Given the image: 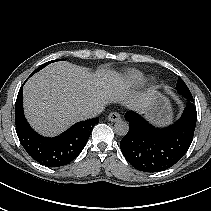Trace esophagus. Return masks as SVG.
<instances>
[{
    "mask_svg": "<svg viewBox=\"0 0 211 211\" xmlns=\"http://www.w3.org/2000/svg\"><path fill=\"white\" fill-rule=\"evenodd\" d=\"M120 114L117 113V112H111L109 115H108V120L111 121V122H116V121H119L120 120Z\"/></svg>",
    "mask_w": 211,
    "mask_h": 211,
    "instance_id": "34e87169",
    "label": "esophagus"
}]
</instances>
